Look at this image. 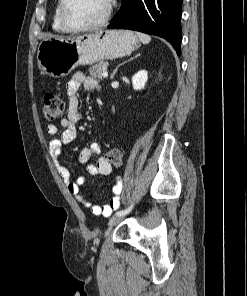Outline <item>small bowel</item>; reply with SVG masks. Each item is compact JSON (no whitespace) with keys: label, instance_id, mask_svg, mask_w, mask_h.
<instances>
[{"label":"small bowel","instance_id":"1","mask_svg":"<svg viewBox=\"0 0 247 296\" xmlns=\"http://www.w3.org/2000/svg\"><path fill=\"white\" fill-rule=\"evenodd\" d=\"M81 86L89 92L96 91L99 88L96 80L80 72L73 74L67 82L66 90L69 98L67 117L62 119L58 125L50 124L47 128L51 136H55L59 129H62L61 137L53 138L49 142V156L68 191L76 198L78 203L90 208L93 215L108 217L119 207L122 192L121 180H116L112 189V197L108 204L102 206L94 205L80 193V188L87 181V178L81 176L72 179L70 171L63 165L61 160L62 145L71 143L77 136V124L81 120L78 98V91ZM79 161L87 165V170L91 177L108 175L112 172V165L101 155L98 144H90L83 147L79 153Z\"/></svg>","mask_w":247,"mask_h":296}]
</instances>
